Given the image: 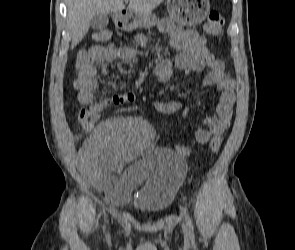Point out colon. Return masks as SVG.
<instances>
[{
	"mask_svg": "<svg viewBox=\"0 0 295 250\" xmlns=\"http://www.w3.org/2000/svg\"><path fill=\"white\" fill-rule=\"evenodd\" d=\"M223 25L224 20L220 12L218 10H211L204 23L203 30L206 35L216 36L221 32ZM109 37L110 33L107 30H99L93 35L94 40L98 42H105ZM88 50V48L80 50L77 54L76 61H85ZM99 114L100 111L94 106L82 107L77 112V120L83 129L91 130L98 121ZM210 147L213 152H217L221 148V143L219 141H213Z\"/></svg>",
	"mask_w": 295,
	"mask_h": 250,
	"instance_id": "colon-1",
	"label": "colon"
}]
</instances>
